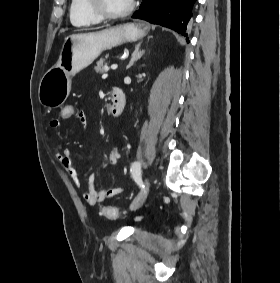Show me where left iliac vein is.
<instances>
[{
  "label": "left iliac vein",
  "mask_w": 280,
  "mask_h": 283,
  "mask_svg": "<svg viewBox=\"0 0 280 283\" xmlns=\"http://www.w3.org/2000/svg\"><path fill=\"white\" fill-rule=\"evenodd\" d=\"M150 190V180L149 178H146L144 181V188L141 190V192L135 197V199L132 201L130 205L131 210H137L139 207L142 206L143 202L145 201V198Z\"/></svg>",
  "instance_id": "left-iliac-vein-1"
}]
</instances>
